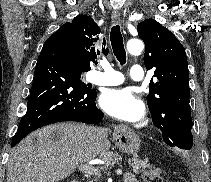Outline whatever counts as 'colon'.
Listing matches in <instances>:
<instances>
[{"label":"colon","instance_id":"1","mask_svg":"<svg viewBox=\"0 0 211 182\" xmlns=\"http://www.w3.org/2000/svg\"><path fill=\"white\" fill-rule=\"evenodd\" d=\"M145 182H163L161 171L159 168L153 166L144 174Z\"/></svg>","mask_w":211,"mask_h":182}]
</instances>
